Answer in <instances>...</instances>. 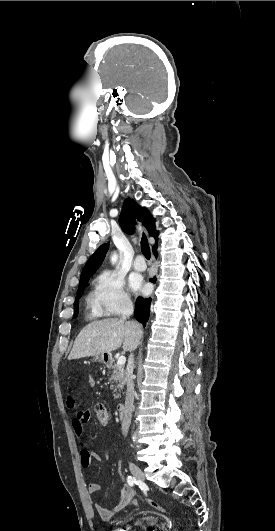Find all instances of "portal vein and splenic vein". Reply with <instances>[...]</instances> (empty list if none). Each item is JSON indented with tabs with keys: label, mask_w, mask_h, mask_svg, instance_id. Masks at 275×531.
Returning <instances> with one entry per match:
<instances>
[{
	"label": "portal vein and splenic vein",
	"mask_w": 275,
	"mask_h": 531,
	"mask_svg": "<svg viewBox=\"0 0 275 531\" xmlns=\"http://www.w3.org/2000/svg\"><path fill=\"white\" fill-rule=\"evenodd\" d=\"M126 363V357H119L117 361V365H125Z\"/></svg>",
	"instance_id": "18ae733b"
}]
</instances>
